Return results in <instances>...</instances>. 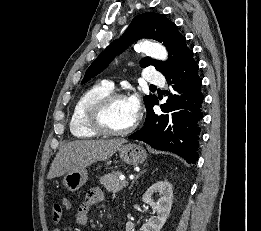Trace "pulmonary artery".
I'll return each instance as SVG.
<instances>
[{"label": "pulmonary artery", "mask_w": 261, "mask_h": 231, "mask_svg": "<svg viewBox=\"0 0 261 231\" xmlns=\"http://www.w3.org/2000/svg\"><path fill=\"white\" fill-rule=\"evenodd\" d=\"M146 72H147V75H146L147 82L154 84V85H160V86L165 85L164 76L161 73L157 72L154 68L147 67ZM107 87L112 90L114 88V85L112 83H108Z\"/></svg>", "instance_id": "obj_1"}]
</instances>
